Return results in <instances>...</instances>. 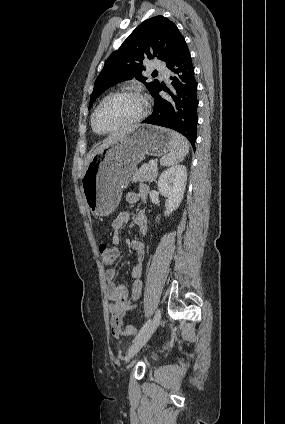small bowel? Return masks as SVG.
Instances as JSON below:
<instances>
[{"label":"small bowel","mask_w":285,"mask_h":424,"mask_svg":"<svg viewBox=\"0 0 285 424\" xmlns=\"http://www.w3.org/2000/svg\"><path fill=\"white\" fill-rule=\"evenodd\" d=\"M149 189L146 185H140L137 192L131 193L127 196L128 203H136L145 200ZM131 212L129 210L121 211L117 217L112 221L111 227L113 230L112 240L113 243L118 245L121 241V230L123 226L129 222ZM134 224L138 227L139 232L145 235L148 231V219L144 212H139L134 218ZM131 248L136 256V264L131 270L132 286L129 292L124 284H117L115 282L117 271L110 268L106 271V296L110 301L109 310L112 315L111 318V333L114 337L118 338L122 335H131L124 330L123 317L126 312L134 308L135 302L141 295L142 291V263L145 259V246L139 239L131 241ZM118 317L119 327L113 324V318Z\"/></svg>","instance_id":"obj_1"}]
</instances>
